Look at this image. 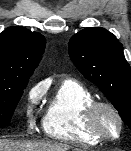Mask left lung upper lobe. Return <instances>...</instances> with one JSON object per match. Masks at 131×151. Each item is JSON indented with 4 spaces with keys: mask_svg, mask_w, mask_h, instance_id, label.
I'll use <instances>...</instances> for the list:
<instances>
[{
    "mask_svg": "<svg viewBox=\"0 0 131 151\" xmlns=\"http://www.w3.org/2000/svg\"><path fill=\"white\" fill-rule=\"evenodd\" d=\"M69 55L131 129V69L117 38L104 28H85L70 39Z\"/></svg>",
    "mask_w": 131,
    "mask_h": 151,
    "instance_id": "left-lung-upper-lobe-1",
    "label": "left lung upper lobe"
}]
</instances>
